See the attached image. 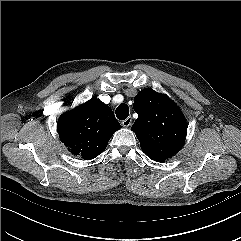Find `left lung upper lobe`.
<instances>
[{
  "mask_svg": "<svg viewBox=\"0 0 241 241\" xmlns=\"http://www.w3.org/2000/svg\"><path fill=\"white\" fill-rule=\"evenodd\" d=\"M138 118L132 126L142 151L157 162L176 154L185 142L187 124L180 109L167 96L151 88L134 98Z\"/></svg>",
  "mask_w": 241,
  "mask_h": 241,
  "instance_id": "1",
  "label": "left lung upper lobe"
}]
</instances>
